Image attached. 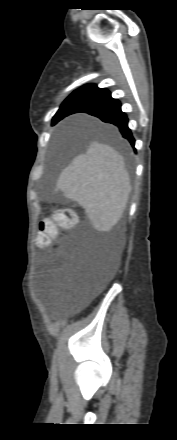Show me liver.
<instances>
[{"label":"liver","instance_id":"6515ba94","mask_svg":"<svg viewBox=\"0 0 177 440\" xmlns=\"http://www.w3.org/2000/svg\"><path fill=\"white\" fill-rule=\"evenodd\" d=\"M77 202L93 226L110 231L122 218L131 185L125 162L113 147L93 140L61 172L55 191Z\"/></svg>","mask_w":177,"mask_h":440}]
</instances>
